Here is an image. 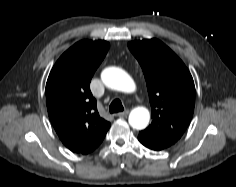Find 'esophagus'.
Segmentation results:
<instances>
[{
	"label": "esophagus",
	"mask_w": 236,
	"mask_h": 187,
	"mask_svg": "<svg viewBox=\"0 0 236 187\" xmlns=\"http://www.w3.org/2000/svg\"><path fill=\"white\" fill-rule=\"evenodd\" d=\"M129 114V110H125L124 112H119L116 114L117 117H124Z\"/></svg>",
	"instance_id": "1"
}]
</instances>
